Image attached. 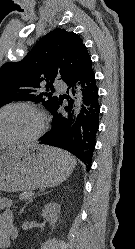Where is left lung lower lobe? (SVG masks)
<instances>
[{
	"label": "left lung lower lobe",
	"instance_id": "1",
	"mask_svg": "<svg viewBox=\"0 0 135 249\" xmlns=\"http://www.w3.org/2000/svg\"><path fill=\"white\" fill-rule=\"evenodd\" d=\"M77 82L81 87L83 104L77 118L75 116L72 119L74 114V111H72L73 103L75 102L72 96L75 95L76 89L73 86ZM67 85L68 95L64 96L68 100V106H65L66 113L60 110L63 98H59L51 111L53 115L52 129L40 138V143L71 152L89 169L96 144L100 113L98 88L92 63L87 66L77 79L67 83Z\"/></svg>",
	"mask_w": 135,
	"mask_h": 249
}]
</instances>
